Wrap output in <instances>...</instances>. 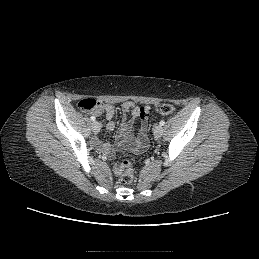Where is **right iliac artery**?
Segmentation results:
<instances>
[{"label":"right iliac artery","mask_w":259,"mask_h":259,"mask_svg":"<svg viewBox=\"0 0 259 259\" xmlns=\"http://www.w3.org/2000/svg\"><path fill=\"white\" fill-rule=\"evenodd\" d=\"M90 119H91V121H93V122L95 121V117H94V116H91Z\"/></svg>","instance_id":"1"}]
</instances>
